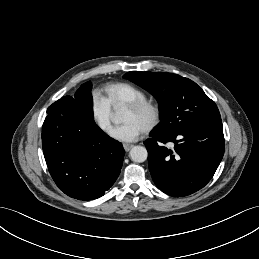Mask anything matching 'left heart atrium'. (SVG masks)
Instances as JSON below:
<instances>
[{
	"mask_svg": "<svg viewBox=\"0 0 259 259\" xmlns=\"http://www.w3.org/2000/svg\"><path fill=\"white\" fill-rule=\"evenodd\" d=\"M142 132V129L131 121H124L120 125L116 126L110 132L111 136L115 139L131 142L138 139Z\"/></svg>",
	"mask_w": 259,
	"mask_h": 259,
	"instance_id": "39dd6f15",
	"label": "left heart atrium"
}]
</instances>
